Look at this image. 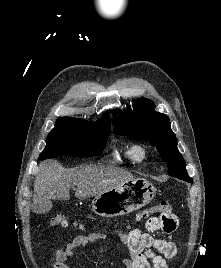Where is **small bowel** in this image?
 Segmentation results:
<instances>
[{"label":"small bowel","mask_w":221,"mask_h":268,"mask_svg":"<svg viewBox=\"0 0 221 268\" xmlns=\"http://www.w3.org/2000/svg\"><path fill=\"white\" fill-rule=\"evenodd\" d=\"M178 224V218L174 214L158 215L146 221L145 231L131 229L128 232H118V241L129 253V257L123 260L124 268H168L166 259L175 257L178 247L174 242L156 238L153 234H171L177 229ZM107 238V234L102 232L77 236L65 246L56 249L52 258L53 268H71L69 260L79 248Z\"/></svg>","instance_id":"1"}]
</instances>
